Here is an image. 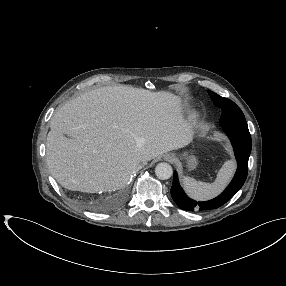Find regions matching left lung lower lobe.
I'll return each mask as SVG.
<instances>
[{"instance_id":"left-lung-lower-lobe-1","label":"left lung lower lobe","mask_w":286,"mask_h":286,"mask_svg":"<svg viewBox=\"0 0 286 286\" xmlns=\"http://www.w3.org/2000/svg\"><path fill=\"white\" fill-rule=\"evenodd\" d=\"M220 124L231 140L238 163L237 171L229 186L218 197L205 201L196 202L184 193L180 187L177 172H174L171 196L175 203L183 210H211L217 209L226 202L243 186L248 171V159L251 153V136L245 117L223 116Z\"/></svg>"}]
</instances>
